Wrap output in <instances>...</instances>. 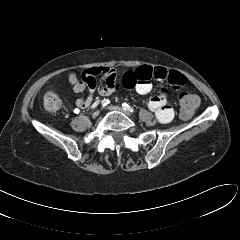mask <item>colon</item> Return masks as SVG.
<instances>
[{
	"instance_id": "1",
	"label": "colon",
	"mask_w": 240,
	"mask_h": 240,
	"mask_svg": "<svg viewBox=\"0 0 240 240\" xmlns=\"http://www.w3.org/2000/svg\"><path fill=\"white\" fill-rule=\"evenodd\" d=\"M44 108L48 112H56L61 107V99L59 96L53 91H47L43 98ZM199 104V99L196 95L183 91L180 94V110L181 115L184 118L191 117L197 106Z\"/></svg>"
}]
</instances>
